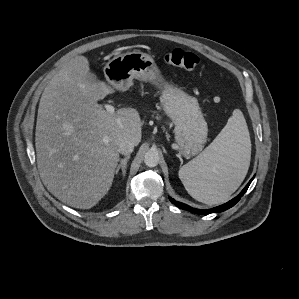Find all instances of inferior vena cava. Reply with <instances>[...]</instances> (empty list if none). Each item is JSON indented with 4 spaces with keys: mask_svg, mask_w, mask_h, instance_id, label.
<instances>
[{
    "mask_svg": "<svg viewBox=\"0 0 299 299\" xmlns=\"http://www.w3.org/2000/svg\"><path fill=\"white\" fill-rule=\"evenodd\" d=\"M135 143L130 140H122L118 145V152L122 155H129L134 149Z\"/></svg>",
    "mask_w": 299,
    "mask_h": 299,
    "instance_id": "inferior-vena-cava-1",
    "label": "inferior vena cava"
}]
</instances>
